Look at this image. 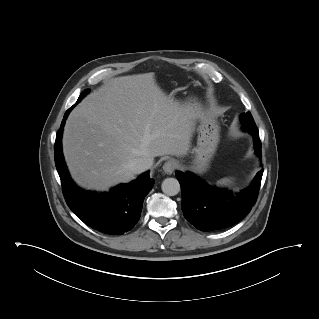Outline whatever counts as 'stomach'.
Returning a JSON list of instances; mask_svg holds the SVG:
<instances>
[{"label": "stomach", "instance_id": "stomach-1", "mask_svg": "<svg viewBox=\"0 0 319 319\" xmlns=\"http://www.w3.org/2000/svg\"><path fill=\"white\" fill-rule=\"evenodd\" d=\"M184 105L194 113V120L199 123L197 128V146L193 149L194 159L190 168L198 174L204 173L216 152L220 141V123L195 98H189Z\"/></svg>", "mask_w": 319, "mask_h": 319}]
</instances>
